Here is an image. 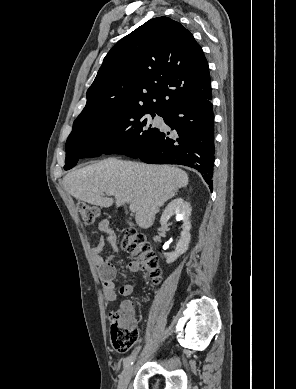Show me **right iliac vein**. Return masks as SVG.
Listing matches in <instances>:
<instances>
[{
  "mask_svg": "<svg viewBox=\"0 0 296 389\" xmlns=\"http://www.w3.org/2000/svg\"><path fill=\"white\" fill-rule=\"evenodd\" d=\"M133 373V367L129 366L122 374L119 384H118V389H126L128 386V383L131 379Z\"/></svg>",
  "mask_w": 296,
  "mask_h": 389,
  "instance_id": "obj_1",
  "label": "right iliac vein"
}]
</instances>
